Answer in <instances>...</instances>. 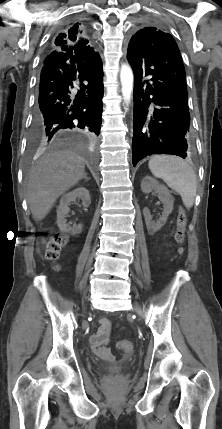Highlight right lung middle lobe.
<instances>
[{
	"label": "right lung middle lobe",
	"mask_w": 222,
	"mask_h": 429,
	"mask_svg": "<svg viewBox=\"0 0 222 429\" xmlns=\"http://www.w3.org/2000/svg\"><path fill=\"white\" fill-rule=\"evenodd\" d=\"M31 139H32L33 141H37L38 143H41V145H44V144H45V142H44L43 138H41V137L34 138L33 136H31Z\"/></svg>",
	"instance_id": "dd1d6c3e"
}]
</instances>
